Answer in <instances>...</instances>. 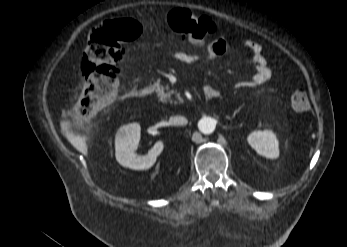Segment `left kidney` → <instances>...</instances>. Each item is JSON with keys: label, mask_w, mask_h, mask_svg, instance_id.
<instances>
[{"label": "left kidney", "mask_w": 347, "mask_h": 247, "mask_svg": "<svg viewBox=\"0 0 347 247\" xmlns=\"http://www.w3.org/2000/svg\"><path fill=\"white\" fill-rule=\"evenodd\" d=\"M247 141L261 156L270 159H276L279 156V142L270 130L254 131L248 136Z\"/></svg>", "instance_id": "left-kidney-1"}]
</instances>
